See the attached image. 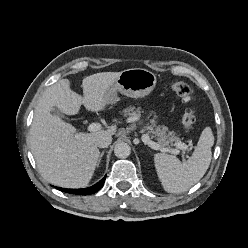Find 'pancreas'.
<instances>
[{
    "mask_svg": "<svg viewBox=\"0 0 248 248\" xmlns=\"http://www.w3.org/2000/svg\"><path fill=\"white\" fill-rule=\"evenodd\" d=\"M124 117H130L132 121H138L141 117L140 108H135L134 106H129L123 111ZM155 118L150 120V124L145 127V131L151 135L152 138H155L158 141V144L162 146L178 145L181 142V139L176 136V133L169 131L165 126H157Z\"/></svg>",
    "mask_w": 248,
    "mask_h": 248,
    "instance_id": "pancreas-1",
    "label": "pancreas"
}]
</instances>
